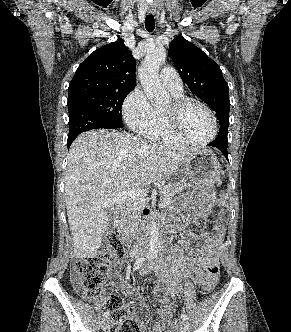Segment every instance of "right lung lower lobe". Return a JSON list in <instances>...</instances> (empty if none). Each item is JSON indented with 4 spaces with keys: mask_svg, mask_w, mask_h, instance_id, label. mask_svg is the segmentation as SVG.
Returning <instances> with one entry per match:
<instances>
[{
    "mask_svg": "<svg viewBox=\"0 0 291 332\" xmlns=\"http://www.w3.org/2000/svg\"><path fill=\"white\" fill-rule=\"evenodd\" d=\"M99 128L110 129L111 125L106 122L101 115H98L85 107L74 109V112L69 114V134L67 140L68 149L73 140L80 133Z\"/></svg>",
    "mask_w": 291,
    "mask_h": 332,
    "instance_id": "right-lung-lower-lobe-1",
    "label": "right lung lower lobe"
}]
</instances>
